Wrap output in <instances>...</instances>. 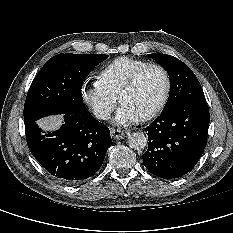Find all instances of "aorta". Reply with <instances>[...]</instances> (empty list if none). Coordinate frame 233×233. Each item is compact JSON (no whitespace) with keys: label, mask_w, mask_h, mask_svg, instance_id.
Returning a JSON list of instances; mask_svg holds the SVG:
<instances>
[{"label":"aorta","mask_w":233,"mask_h":233,"mask_svg":"<svg viewBox=\"0 0 233 233\" xmlns=\"http://www.w3.org/2000/svg\"><path fill=\"white\" fill-rule=\"evenodd\" d=\"M147 137L140 132H134L128 137V144L130 148L135 150L144 149L147 145Z\"/></svg>","instance_id":"762f6f07"}]
</instances>
